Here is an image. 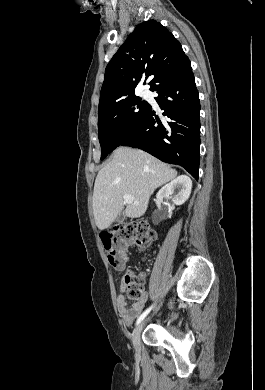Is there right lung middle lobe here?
Returning <instances> with one entry per match:
<instances>
[{
    "label": "right lung middle lobe",
    "instance_id": "obj_1",
    "mask_svg": "<svg viewBox=\"0 0 265 390\" xmlns=\"http://www.w3.org/2000/svg\"><path fill=\"white\" fill-rule=\"evenodd\" d=\"M149 108L147 102L133 96L98 112L101 160L120 146L121 142L145 118Z\"/></svg>",
    "mask_w": 265,
    "mask_h": 390
}]
</instances>
